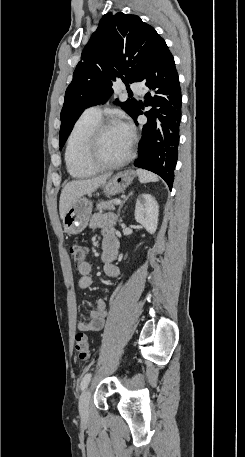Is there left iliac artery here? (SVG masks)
Instances as JSON below:
<instances>
[{
  "label": "left iliac artery",
  "mask_w": 245,
  "mask_h": 457,
  "mask_svg": "<svg viewBox=\"0 0 245 457\" xmlns=\"http://www.w3.org/2000/svg\"><path fill=\"white\" fill-rule=\"evenodd\" d=\"M91 377H92V374H91V373L85 374V376L83 377V379H82V381H81V384H80L81 390H84V389L87 387V385H88V383H89Z\"/></svg>",
  "instance_id": "obj_1"
}]
</instances>
